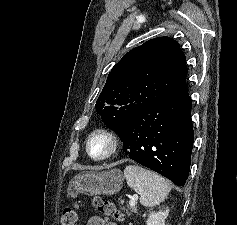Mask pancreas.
<instances>
[{
    "mask_svg": "<svg viewBox=\"0 0 237 225\" xmlns=\"http://www.w3.org/2000/svg\"><path fill=\"white\" fill-rule=\"evenodd\" d=\"M122 210L126 211L127 214H131V212H136L137 209L135 207H132L130 209L122 208Z\"/></svg>",
    "mask_w": 237,
    "mask_h": 225,
    "instance_id": "obj_1",
    "label": "pancreas"
}]
</instances>
